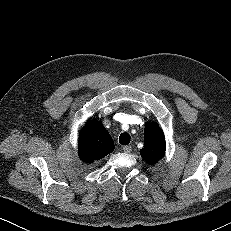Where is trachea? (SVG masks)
Listing matches in <instances>:
<instances>
[{"label":"trachea","instance_id":"1","mask_svg":"<svg viewBox=\"0 0 231 231\" xmlns=\"http://www.w3.org/2000/svg\"><path fill=\"white\" fill-rule=\"evenodd\" d=\"M130 135L128 133H122L119 136V143L122 145H128L130 143Z\"/></svg>","mask_w":231,"mask_h":231}]
</instances>
